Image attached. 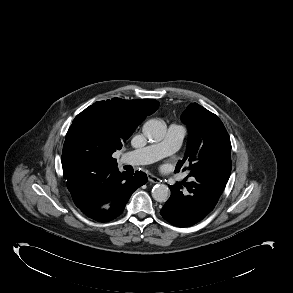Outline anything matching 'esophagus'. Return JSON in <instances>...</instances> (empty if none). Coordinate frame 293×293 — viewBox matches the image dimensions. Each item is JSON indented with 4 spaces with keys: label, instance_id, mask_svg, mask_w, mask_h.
I'll list each match as a JSON object with an SVG mask.
<instances>
[{
    "label": "esophagus",
    "instance_id": "obj_1",
    "mask_svg": "<svg viewBox=\"0 0 293 293\" xmlns=\"http://www.w3.org/2000/svg\"><path fill=\"white\" fill-rule=\"evenodd\" d=\"M148 180L152 183H160L162 181L158 177H155L153 175H148Z\"/></svg>",
    "mask_w": 293,
    "mask_h": 293
}]
</instances>
